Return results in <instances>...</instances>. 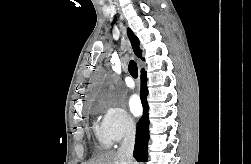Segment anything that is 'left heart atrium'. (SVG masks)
Returning a JSON list of instances; mask_svg holds the SVG:
<instances>
[{
  "instance_id": "39dd6f15",
  "label": "left heart atrium",
  "mask_w": 251,
  "mask_h": 164,
  "mask_svg": "<svg viewBox=\"0 0 251 164\" xmlns=\"http://www.w3.org/2000/svg\"><path fill=\"white\" fill-rule=\"evenodd\" d=\"M128 106H129V109L133 115L138 116L141 114L142 105H141V101H140L138 95H132L129 98Z\"/></svg>"
}]
</instances>
